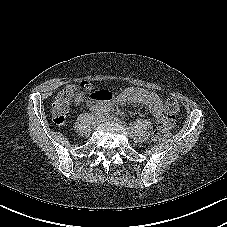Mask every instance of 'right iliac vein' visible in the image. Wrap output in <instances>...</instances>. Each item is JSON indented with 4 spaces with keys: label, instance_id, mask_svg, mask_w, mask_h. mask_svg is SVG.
<instances>
[{
    "label": "right iliac vein",
    "instance_id": "right-iliac-vein-1",
    "mask_svg": "<svg viewBox=\"0 0 227 227\" xmlns=\"http://www.w3.org/2000/svg\"><path fill=\"white\" fill-rule=\"evenodd\" d=\"M97 124H99V120H97L93 123L94 126H96Z\"/></svg>",
    "mask_w": 227,
    "mask_h": 227
}]
</instances>
